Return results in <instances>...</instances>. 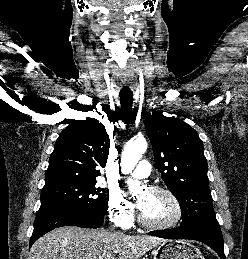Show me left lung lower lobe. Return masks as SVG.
<instances>
[{
    "instance_id": "1",
    "label": "left lung lower lobe",
    "mask_w": 248,
    "mask_h": 259,
    "mask_svg": "<svg viewBox=\"0 0 248 259\" xmlns=\"http://www.w3.org/2000/svg\"><path fill=\"white\" fill-rule=\"evenodd\" d=\"M149 234L166 239H191L200 241L211 247L221 259H226L223 237L216 217L197 220L185 225L181 224L174 229L152 231Z\"/></svg>"
}]
</instances>
